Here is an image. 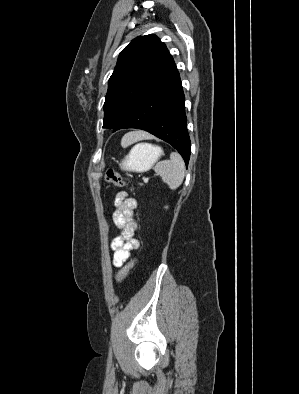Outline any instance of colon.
I'll use <instances>...</instances> for the list:
<instances>
[{
  "mask_svg": "<svg viewBox=\"0 0 299 394\" xmlns=\"http://www.w3.org/2000/svg\"><path fill=\"white\" fill-rule=\"evenodd\" d=\"M105 179L108 183H111L115 186L122 187L126 185V180L124 179V177L118 172H115L110 169L106 171ZM133 264H134V260H130L120 269L117 275L118 284H121L125 280L131 268L133 267Z\"/></svg>",
  "mask_w": 299,
  "mask_h": 394,
  "instance_id": "obj_1",
  "label": "colon"
}]
</instances>
